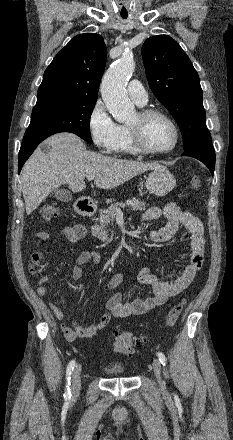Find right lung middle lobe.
<instances>
[{"instance_id": "obj_1", "label": "right lung middle lobe", "mask_w": 233, "mask_h": 440, "mask_svg": "<svg viewBox=\"0 0 233 440\" xmlns=\"http://www.w3.org/2000/svg\"><path fill=\"white\" fill-rule=\"evenodd\" d=\"M96 99L52 98L36 103L28 130L71 132L92 142L90 117Z\"/></svg>"}]
</instances>
